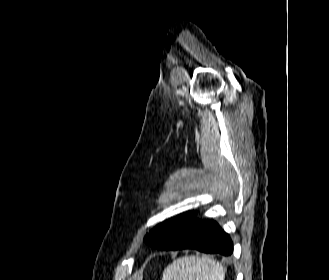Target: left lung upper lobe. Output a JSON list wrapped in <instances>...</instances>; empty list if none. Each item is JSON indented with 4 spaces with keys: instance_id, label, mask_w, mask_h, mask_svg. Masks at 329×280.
Segmentation results:
<instances>
[{
    "instance_id": "5c2ea615",
    "label": "left lung upper lobe",
    "mask_w": 329,
    "mask_h": 280,
    "mask_svg": "<svg viewBox=\"0 0 329 280\" xmlns=\"http://www.w3.org/2000/svg\"><path fill=\"white\" fill-rule=\"evenodd\" d=\"M161 230L162 227L158 225L145 236L144 241L154 248L161 249L165 247L168 244V236H164V233H162Z\"/></svg>"
}]
</instances>
